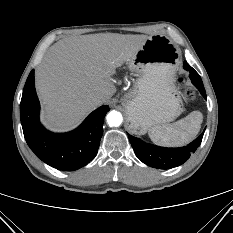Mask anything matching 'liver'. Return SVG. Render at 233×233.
Masks as SVG:
<instances>
[{"mask_svg":"<svg viewBox=\"0 0 233 233\" xmlns=\"http://www.w3.org/2000/svg\"><path fill=\"white\" fill-rule=\"evenodd\" d=\"M147 35L100 33L59 40L35 70L42 121L50 129L76 127L116 92L112 76L130 61ZM100 94L103 98L95 100Z\"/></svg>","mask_w":233,"mask_h":233,"instance_id":"obj_1","label":"liver"}]
</instances>
